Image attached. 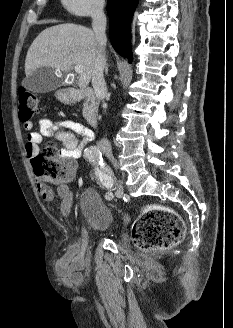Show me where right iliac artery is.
Masks as SVG:
<instances>
[{"mask_svg": "<svg viewBox=\"0 0 233 328\" xmlns=\"http://www.w3.org/2000/svg\"><path fill=\"white\" fill-rule=\"evenodd\" d=\"M85 158L91 162L96 163L97 167L95 169V175L98 179V184L107 190L105 197L107 200L113 199L112 187H113V179L112 174L108 167L105 165L102 153L100 149L96 146H92L85 152Z\"/></svg>", "mask_w": 233, "mask_h": 328, "instance_id": "1", "label": "right iliac artery"}]
</instances>
